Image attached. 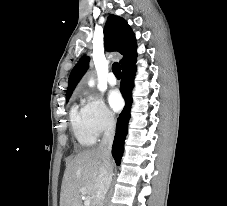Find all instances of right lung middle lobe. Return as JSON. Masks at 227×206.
<instances>
[{"instance_id": "dd1d6c3e", "label": "right lung middle lobe", "mask_w": 227, "mask_h": 206, "mask_svg": "<svg viewBox=\"0 0 227 206\" xmlns=\"http://www.w3.org/2000/svg\"><path fill=\"white\" fill-rule=\"evenodd\" d=\"M69 97H66V100L68 101Z\"/></svg>"}]
</instances>
